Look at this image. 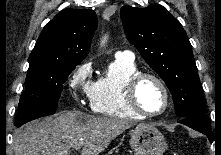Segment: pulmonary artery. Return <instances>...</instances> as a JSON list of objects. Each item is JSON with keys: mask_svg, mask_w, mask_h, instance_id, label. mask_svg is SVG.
Returning a JSON list of instances; mask_svg holds the SVG:
<instances>
[{"mask_svg": "<svg viewBox=\"0 0 221 155\" xmlns=\"http://www.w3.org/2000/svg\"><path fill=\"white\" fill-rule=\"evenodd\" d=\"M116 58L126 59V60H133L134 55L130 51H119L116 53Z\"/></svg>", "mask_w": 221, "mask_h": 155, "instance_id": "pulmonary-artery-1", "label": "pulmonary artery"}]
</instances>
